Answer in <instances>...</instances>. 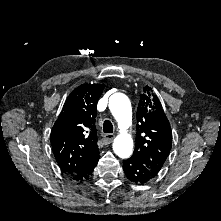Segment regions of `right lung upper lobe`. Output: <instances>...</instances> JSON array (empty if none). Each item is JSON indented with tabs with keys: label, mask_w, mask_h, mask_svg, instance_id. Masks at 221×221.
I'll return each instance as SVG.
<instances>
[{
	"label": "right lung upper lobe",
	"mask_w": 221,
	"mask_h": 221,
	"mask_svg": "<svg viewBox=\"0 0 221 221\" xmlns=\"http://www.w3.org/2000/svg\"><path fill=\"white\" fill-rule=\"evenodd\" d=\"M104 85L84 84L66 99L51 131V145L62 172L72 177L99 154L95 117Z\"/></svg>",
	"instance_id": "1"
}]
</instances>
